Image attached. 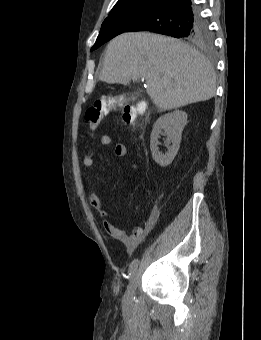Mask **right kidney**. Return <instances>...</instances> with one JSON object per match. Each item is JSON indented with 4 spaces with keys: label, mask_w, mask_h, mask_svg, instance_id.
Instances as JSON below:
<instances>
[{
    "label": "right kidney",
    "mask_w": 261,
    "mask_h": 340,
    "mask_svg": "<svg viewBox=\"0 0 261 340\" xmlns=\"http://www.w3.org/2000/svg\"><path fill=\"white\" fill-rule=\"evenodd\" d=\"M187 118L186 112L176 110L161 116L153 125L150 149L154 161L160 166L170 165L175 158L180 147L182 131L187 124ZM161 133L167 136L166 142L172 143L166 154H162L158 149V139Z\"/></svg>",
    "instance_id": "1"
}]
</instances>
